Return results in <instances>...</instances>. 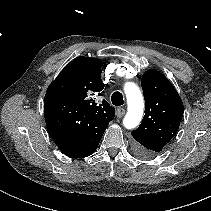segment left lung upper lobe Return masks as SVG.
<instances>
[{
	"instance_id": "1",
	"label": "left lung upper lobe",
	"mask_w": 211,
	"mask_h": 211,
	"mask_svg": "<svg viewBox=\"0 0 211 211\" xmlns=\"http://www.w3.org/2000/svg\"><path fill=\"white\" fill-rule=\"evenodd\" d=\"M145 98L142 123L131 134L136 148L159 153L176 135L184 106L174 86L159 71L147 70L141 78Z\"/></svg>"
}]
</instances>
